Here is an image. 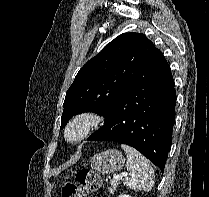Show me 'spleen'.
Instances as JSON below:
<instances>
[{
  "instance_id": "obj_1",
  "label": "spleen",
  "mask_w": 209,
  "mask_h": 197,
  "mask_svg": "<svg viewBox=\"0 0 209 197\" xmlns=\"http://www.w3.org/2000/svg\"><path fill=\"white\" fill-rule=\"evenodd\" d=\"M121 147L127 154L126 168L130 172L123 182L124 186L149 192L154 185V170L149 160L131 146L122 144Z\"/></svg>"
}]
</instances>
